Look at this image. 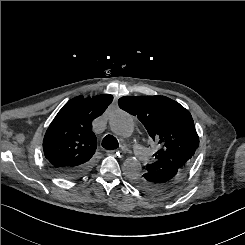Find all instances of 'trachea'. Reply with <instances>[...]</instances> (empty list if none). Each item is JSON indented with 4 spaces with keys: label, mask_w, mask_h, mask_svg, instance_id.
Masks as SVG:
<instances>
[{
    "label": "trachea",
    "mask_w": 245,
    "mask_h": 245,
    "mask_svg": "<svg viewBox=\"0 0 245 245\" xmlns=\"http://www.w3.org/2000/svg\"><path fill=\"white\" fill-rule=\"evenodd\" d=\"M102 146L105 149L113 150L117 149L119 144L117 139L113 135H106L102 141Z\"/></svg>",
    "instance_id": "3493384b"
}]
</instances>
